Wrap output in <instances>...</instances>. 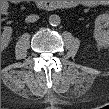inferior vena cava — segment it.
I'll list each match as a JSON object with an SVG mask.
<instances>
[{
  "instance_id": "obj_1",
  "label": "inferior vena cava",
  "mask_w": 109,
  "mask_h": 109,
  "mask_svg": "<svg viewBox=\"0 0 109 109\" xmlns=\"http://www.w3.org/2000/svg\"><path fill=\"white\" fill-rule=\"evenodd\" d=\"M39 19V16L31 14L26 17V22L33 23Z\"/></svg>"
}]
</instances>
